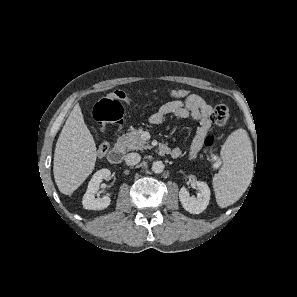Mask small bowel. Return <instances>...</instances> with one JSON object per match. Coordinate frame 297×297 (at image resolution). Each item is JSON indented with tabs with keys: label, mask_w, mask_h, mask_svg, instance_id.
<instances>
[{
	"label": "small bowel",
	"mask_w": 297,
	"mask_h": 297,
	"mask_svg": "<svg viewBox=\"0 0 297 297\" xmlns=\"http://www.w3.org/2000/svg\"><path fill=\"white\" fill-rule=\"evenodd\" d=\"M211 113L212 106L203 97L197 94H189L184 99H174L163 104L150 116V122L154 125L161 124L167 116L177 119L192 118L197 121L199 126L192 140L188 154V158L193 160L201 151L211 128ZM170 150V155L173 158H178L182 154L181 149L178 147Z\"/></svg>",
	"instance_id": "small-bowel-1"
}]
</instances>
